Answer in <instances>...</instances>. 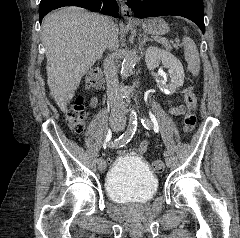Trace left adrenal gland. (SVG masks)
I'll return each mask as SVG.
<instances>
[{
    "label": "left adrenal gland",
    "mask_w": 240,
    "mask_h": 238,
    "mask_svg": "<svg viewBox=\"0 0 240 238\" xmlns=\"http://www.w3.org/2000/svg\"><path fill=\"white\" fill-rule=\"evenodd\" d=\"M147 41H152L146 34H143L142 41L140 42V46H143Z\"/></svg>",
    "instance_id": "left-adrenal-gland-1"
}]
</instances>
